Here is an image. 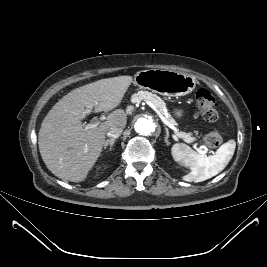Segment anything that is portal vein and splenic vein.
Segmentation results:
<instances>
[{
	"mask_svg": "<svg viewBox=\"0 0 267 267\" xmlns=\"http://www.w3.org/2000/svg\"><path fill=\"white\" fill-rule=\"evenodd\" d=\"M147 104L159 115V117L161 118V120L167 125L169 126L171 129H173L175 131V128L170 125L168 123V121L163 117V115L161 114V112L157 109V107L150 101L147 102ZM90 110H86V113H89ZM100 124V121H95L91 124H88L85 126V130L97 127ZM201 148H203L205 151H208V149L205 146H201Z\"/></svg>",
	"mask_w": 267,
	"mask_h": 267,
	"instance_id": "obj_1",
	"label": "portal vein and splenic vein"
}]
</instances>
